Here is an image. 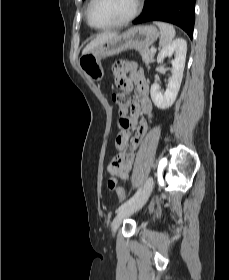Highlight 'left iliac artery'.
<instances>
[{"mask_svg":"<svg viewBox=\"0 0 229 280\" xmlns=\"http://www.w3.org/2000/svg\"><path fill=\"white\" fill-rule=\"evenodd\" d=\"M141 194V188H139L137 190V192L128 200L126 201L125 203H123L117 210L116 212H119L120 210H122L123 208L131 205L138 197L139 195Z\"/></svg>","mask_w":229,"mask_h":280,"instance_id":"left-iliac-artery-1","label":"left iliac artery"}]
</instances>
